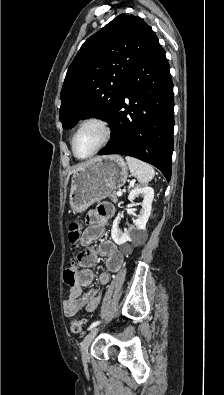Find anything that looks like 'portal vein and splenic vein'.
<instances>
[{
	"label": "portal vein and splenic vein",
	"instance_id": "portal-vein-and-splenic-vein-1",
	"mask_svg": "<svg viewBox=\"0 0 224 395\" xmlns=\"http://www.w3.org/2000/svg\"><path fill=\"white\" fill-rule=\"evenodd\" d=\"M116 195L117 196H122V191H117Z\"/></svg>",
	"mask_w": 224,
	"mask_h": 395
}]
</instances>
